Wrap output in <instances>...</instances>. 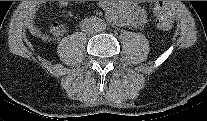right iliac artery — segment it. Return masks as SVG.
I'll return each mask as SVG.
<instances>
[{"mask_svg": "<svg viewBox=\"0 0 207 121\" xmlns=\"http://www.w3.org/2000/svg\"><path fill=\"white\" fill-rule=\"evenodd\" d=\"M90 21L94 24H99L100 23V20L97 17H93V16L90 18Z\"/></svg>", "mask_w": 207, "mask_h": 121, "instance_id": "obj_1", "label": "right iliac artery"}]
</instances>
